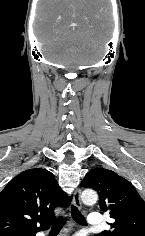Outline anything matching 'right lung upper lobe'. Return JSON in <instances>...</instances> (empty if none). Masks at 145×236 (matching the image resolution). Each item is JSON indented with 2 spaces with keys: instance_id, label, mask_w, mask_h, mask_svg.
<instances>
[{
  "instance_id": "cb5924a9",
  "label": "right lung upper lobe",
  "mask_w": 145,
  "mask_h": 236,
  "mask_svg": "<svg viewBox=\"0 0 145 236\" xmlns=\"http://www.w3.org/2000/svg\"><path fill=\"white\" fill-rule=\"evenodd\" d=\"M69 202L50 171L26 170L0 193V236H35L49 228L54 209L66 207Z\"/></svg>"
}]
</instances>
